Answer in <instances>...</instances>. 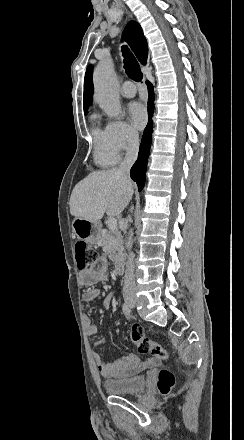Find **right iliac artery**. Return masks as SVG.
<instances>
[{
    "instance_id": "obj_1",
    "label": "right iliac artery",
    "mask_w": 244,
    "mask_h": 440,
    "mask_svg": "<svg viewBox=\"0 0 244 440\" xmlns=\"http://www.w3.org/2000/svg\"><path fill=\"white\" fill-rule=\"evenodd\" d=\"M124 314H129L131 312V307L128 303H124L122 306Z\"/></svg>"
}]
</instances>
